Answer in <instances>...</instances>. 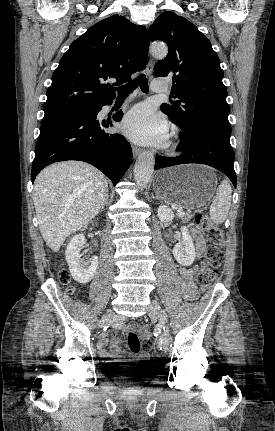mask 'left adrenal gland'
Listing matches in <instances>:
<instances>
[{
    "instance_id": "a2214340",
    "label": "left adrenal gland",
    "mask_w": 275,
    "mask_h": 431,
    "mask_svg": "<svg viewBox=\"0 0 275 431\" xmlns=\"http://www.w3.org/2000/svg\"><path fill=\"white\" fill-rule=\"evenodd\" d=\"M153 198H154V199H157V200H159V197H158V196H156V197H154V196H153Z\"/></svg>"
}]
</instances>
